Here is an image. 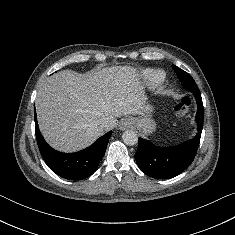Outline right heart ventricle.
<instances>
[{
    "mask_svg": "<svg viewBox=\"0 0 235 235\" xmlns=\"http://www.w3.org/2000/svg\"><path fill=\"white\" fill-rule=\"evenodd\" d=\"M143 79L150 86H156L165 79V73L158 69H146L142 72Z\"/></svg>",
    "mask_w": 235,
    "mask_h": 235,
    "instance_id": "1",
    "label": "right heart ventricle"
}]
</instances>
